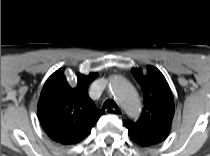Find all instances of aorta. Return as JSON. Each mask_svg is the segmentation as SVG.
I'll return each mask as SVG.
<instances>
[{"label":"aorta","instance_id":"obj_1","mask_svg":"<svg viewBox=\"0 0 210 156\" xmlns=\"http://www.w3.org/2000/svg\"><path fill=\"white\" fill-rule=\"evenodd\" d=\"M112 95L130 116H138L141 102L134 87L122 77H114L110 83Z\"/></svg>","mask_w":210,"mask_h":156}]
</instances>
